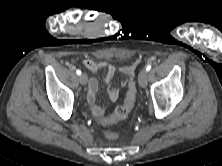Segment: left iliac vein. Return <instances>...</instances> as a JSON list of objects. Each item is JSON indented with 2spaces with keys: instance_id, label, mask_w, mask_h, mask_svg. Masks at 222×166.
<instances>
[{
  "instance_id": "obj_1",
  "label": "left iliac vein",
  "mask_w": 222,
  "mask_h": 166,
  "mask_svg": "<svg viewBox=\"0 0 222 166\" xmlns=\"http://www.w3.org/2000/svg\"><path fill=\"white\" fill-rule=\"evenodd\" d=\"M148 80V73L145 69L141 70L138 75V83L141 87H146Z\"/></svg>"
}]
</instances>
